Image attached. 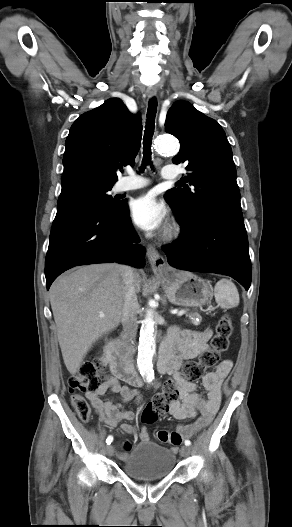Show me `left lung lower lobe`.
<instances>
[{"label":"left lung lower lobe","instance_id":"1","mask_svg":"<svg viewBox=\"0 0 292 527\" xmlns=\"http://www.w3.org/2000/svg\"><path fill=\"white\" fill-rule=\"evenodd\" d=\"M181 227V238L163 247L172 267L224 274L249 289L251 261L242 215L211 213Z\"/></svg>","mask_w":292,"mask_h":527}]
</instances>
